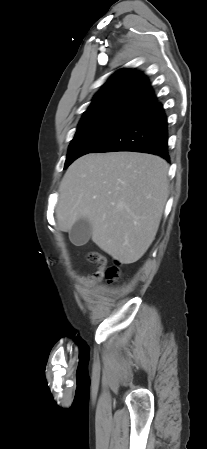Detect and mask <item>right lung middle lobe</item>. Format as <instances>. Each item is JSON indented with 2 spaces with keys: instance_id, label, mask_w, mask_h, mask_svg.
Here are the masks:
<instances>
[{
  "instance_id": "dd1d6c3e",
  "label": "right lung middle lobe",
  "mask_w": 207,
  "mask_h": 449,
  "mask_svg": "<svg viewBox=\"0 0 207 449\" xmlns=\"http://www.w3.org/2000/svg\"><path fill=\"white\" fill-rule=\"evenodd\" d=\"M134 115L133 112L114 110L83 116L69 145L64 169L80 156L92 152Z\"/></svg>"
}]
</instances>
